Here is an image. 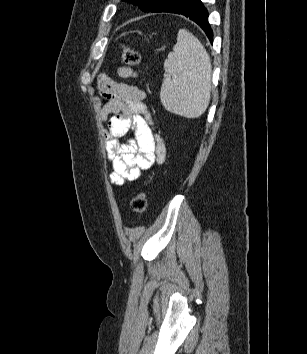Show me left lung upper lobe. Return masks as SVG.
<instances>
[{
    "instance_id": "obj_1",
    "label": "left lung upper lobe",
    "mask_w": 307,
    "mask_h": 354,
    "mask_svg": "<svg viewBox=\"0 0 307 354\" xmlns=\"http://www.w3.org/2000/svg\"><path fill=\"white\" fill-rule=\"evenodd\" d=\"M122 1L130 2L133 3L134 5H138L143 11L148 10L151 12H157L163 6H165L169 0H122Z\"/></svg>"
}]
</instances>
